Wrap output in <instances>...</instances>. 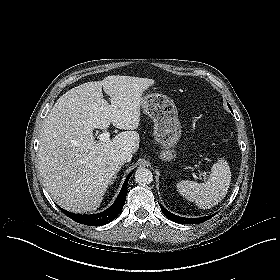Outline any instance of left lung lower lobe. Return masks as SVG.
Returning <instances> with one entry per match:
<instances>
[{"instance_id":"0a47b994","label":"left lung lower lobe","mask_w":280,"mask_h":280,"mask_svg":"<svg viewBox=\"0 0 280 280\" xmlns=\"http://www.w3.org/2000/svg\"><path fill=\"white\" fill-rule=\"evenodd\" d=\"M159 205H160L161 211L167 218H169L170 220H172L176 223H180V224H198V223L205 222L206 220H208L214 216V215H210V216L201 217V218H183V217H179L175 214H172L171 212L166 210L161 204H159Z\"/></svg>"}]
</instances>
